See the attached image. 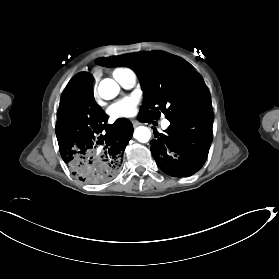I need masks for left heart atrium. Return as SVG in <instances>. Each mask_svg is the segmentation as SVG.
Returning <instances> with one entry per match:
<instances>
[{
	"instance_id": "1",
	"label": "left heart atrium",
	"mask_w": 279,
	"mask_h": 279,
	"mask_svg": "<svg viewBox=\"0 0 279 279\" xmlns=\"http://www.w3.org/2000/svg\"><path fill=\"white\" fill-rule=\"evenodd\" d=\"M138 100L134 97H126L113 104L109 110V116L112 120L121 118H131L137 113Z\"/></svg>"
}]
</instances>
